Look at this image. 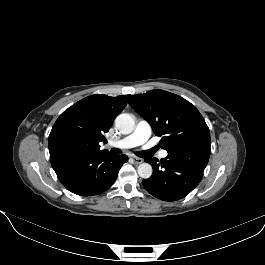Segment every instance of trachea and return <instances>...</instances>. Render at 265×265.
Returning a JSON list of instances; mask_svg holds the SVG:
<instances>
[{
    "instance_id": "trachea-1",
    "label": "trachea",
    "mask_w": 265,
    "mask_h": 265,
    "mask_svg": "<svg viewBox=\"0 0 265 265\" xmlns=\"http://www.w3.org/2000/svg\"><path fill=\"white\" fill-rule=\"evenodd\" d=\"M157 150V147H154L150 150H146V151H140V152H136V155L139 157H148L150 155H152L155 151ZM112 154H120L121 150L118 148H112L110 151Z\"/></svg>"
}]
</instances>
